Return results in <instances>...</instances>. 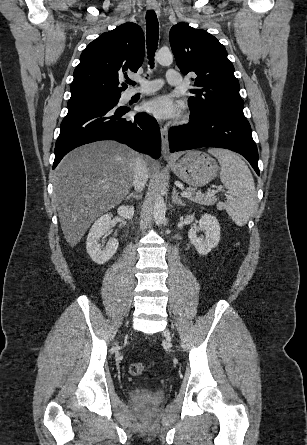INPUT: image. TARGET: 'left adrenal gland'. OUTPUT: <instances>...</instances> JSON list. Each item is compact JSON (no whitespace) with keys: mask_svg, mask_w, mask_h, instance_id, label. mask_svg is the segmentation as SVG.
I'll return each instance as SVG.
<instances>
[{"mask_svg":"<svg viewBox=\"0 0 307 445\" xmlns=\"http://www.w3.org/2000/svg\"><path fill=\"white\" fill-rule=\"evenodd\" d=\"M172 202H174V204H180V206H184L185 204V202L181 200V196H179V192H177L176 188H173Z\"/></svg>","mask_w":307,"mask_h":445,"instance_id":"1","label":"left adrenal gland"}]
</instances>
